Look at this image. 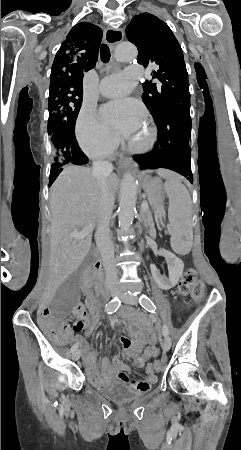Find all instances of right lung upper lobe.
<instances>
[{
  "instance_id": "right-lung-upper-lobe-1",
  "label": "right lung upper lobe",
  "mask_w": 241,
  "mask_h": 450,
  "mask_svg": "<svg viewBox=\"0 0 241 450\" xmlns=\"http://www.w3.org/2000/svg\"><path fill=\"white\" fill-rule=\"evenodd\" d=\"M102 30L82 22L75 25L58 50L50 75V88L70 85L83 89L84 72L92 69L98 58Z\"/></svg>"
}]
</instances>
